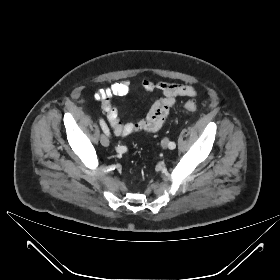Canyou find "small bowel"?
Segmentation results:
<instances>
[{"instance_id":"1","label":"small bowel","mask_w":280,"mask_h":280,"mask_svg":"<svg viewBox=\"0 0 280 280\" xmlns=\"http://www.w3.org/2000/svg\"><path fill=\"white\" fill-rule=\"evenodd\" d=\"M142 87L148 92L159 90L163 96L152 103L145 118L136 122L123 121L118 108L112 102L113 97L126 96L130 93V81L122 80L116 82L110 87L95 93L94 97L101 103V107L106 113L108 122L115 135L126 137L142 131L155 133L165 124L169 112L175 106L178 97H193L196 95L195 88L190 85L167 83L164 81L154 82L149 78L143 79Z\"/></svg>"}]
</instances>
